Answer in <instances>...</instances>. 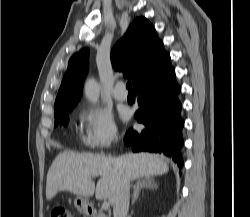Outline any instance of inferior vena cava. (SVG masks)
<instances>
[{
	"label": "inferior vena cava",
	"mask_w": 250,
	"mask_h": 217,
	"mask_svg": "<svg viewBox=\"0 0 250 217\" xmlns=\"http://www.w3.org/2000/svg\"><path fill=\"white\" fill-rule=\"evenodd\" d=\"M129 191V179L125 175L123 169L118 166V184L113 205L114 217H127L129 210Z\"/></svg>",
	"instance_id": "obj_1"
}]
</instances>
